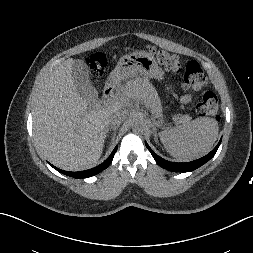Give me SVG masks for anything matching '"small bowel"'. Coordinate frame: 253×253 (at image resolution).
<instances>
[{
  "label": "small bowel",
  "instance_id": "1",
  "mask_svg": "<svg viewBox=\"0 0 253 253\" xmlns=\"http://www.w3.org/2000/svg\"><path fill=\"white\" fill-rule=\"evenodd\" d=\"M191 100V96L190 95H188V94H186V95H183L182 97H181V99H180V101L182 102V103H188L189 101Z\"/></svg>",
  "mask_w": 253,
  "mask_h": 253
}]
</instances>
